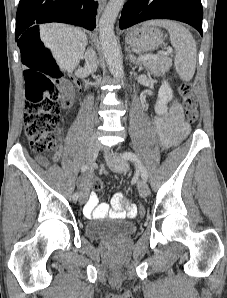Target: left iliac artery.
<instances>
[{
  "label": "left iliac artery",
  "mask_w": 227,
  "mask_h": 298,
  "mask_svg": "<svg viewBox=\"0 0 227 298\" xmlns=\"http://www.w3.org/2000/svg\"><path fill=\"white\" fill-rule=\"evenodd\" d=\"M122 158H124L125 160H130V161L134 162L136 167L138 168V170L141 173L142 179L144 181H147V178H148L147 169L145 168V166L141 163V161L138 159V157L134 153L124 152L122 154Z\"/></svg>",
  "instance_id": "44dca946"
}]
</instances>
